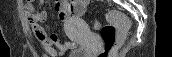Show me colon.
I'll list each match as a JSON object with an SVG mask.
<instances>
[{
	"label": "colon",
	"instance_id": "1",
	"mask_svg": "<svg viewBox=\"0 0 172 57\" xmlns=\"http://www.w3.org/2000/svg\"><path fill=\"white\" fill-rule=\"evenodd\" d=\"M30 12H34V10L30 9ZM107 20L109 23L103 26L99 21L94 22V28L100 31L103 41V49L99 52L98 57H112L130 27L128 18L119 11L108 12Z\"/></svg>",
	"mask_w": 172,
	"mask_h": 57
}]
</instances>
